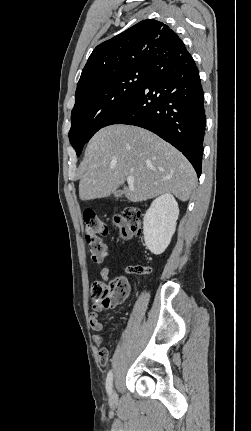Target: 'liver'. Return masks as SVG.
I'll use <instances>...</instances> for the list:
<instances>
[{"mask_svg": "<svg viewBox=\"0 0 251 431\" xmlns=\"http://www.w3.org/2000/svg\"><path fill=\"white\" fill-rule=\"evenodd\" d=\"M82 201L105 198L124 185L131 202L170 193L187 201L196 184L190 162L172 145L140 127L116 124L99 130L89 141L80 166Z\"/></svg>", "mask_w": 251, "mask_h": 431, "instance_id": "1", "label": "liver"}]
</instances>
